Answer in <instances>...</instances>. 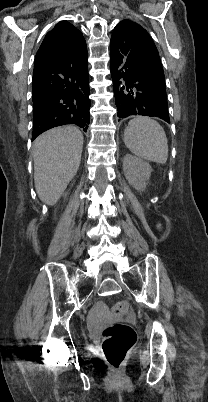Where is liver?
Wrapping results in <instances>:
<instances>
[{"mask_svg":"<svg viewBox=\"0 0 208 402\" xmlns=\"http://www.w3.org/2000/svg\"><path fill=\"white\" fill-rule=\"evenodd\" d=\"M83 136L75 126L45 132L34 142V184L38 198L54 206L81 162Z\"/></svg>","mask_w":208,"mask_h":402,"instance_id":"6515ba94","label":"liver"}]
</instances>
